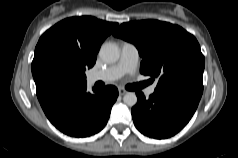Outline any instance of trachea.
<instances>
[{
	"mask_svg": "<svg viewBox=\"0 0 238 158\" xmlns=\"http://www.w3.org/2000/svg\"><path fill=\"white\" fill-rule=\"evenodd\" d=\"M144 85H145L144 83H142V84H136V85H131V86H130V89H131V90H137V89H139V88H142Z\"/></svg>",
	"mask_w": 238,
	"mask_h": 158,
	"instance_id": "obj_1",
	"label": "trachea"
}]
</instances>
